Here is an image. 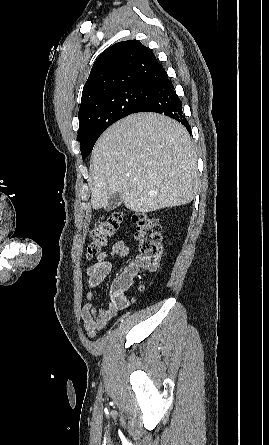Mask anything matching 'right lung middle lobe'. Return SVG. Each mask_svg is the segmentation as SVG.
Instances as JSON below:
<instances>
[{
    "label": "right lung middle lobe",
    "mask_w": 269,
    "mask_h": 445,
    "mask_svg": "<svg viewBox=\"0 0 269 445\" xmlns=\"http://www.w3.org/2000/svg\"><path fill=\"white\" fill-rule=\"evenodd\" d=\"M149 85L126 86L111 90L79 109L78 137L82 158L86 159L99 136L114 122L132 114L153 95Z\"/></svg>",
    "instance_id": "obj_1"
}]
</instances>
